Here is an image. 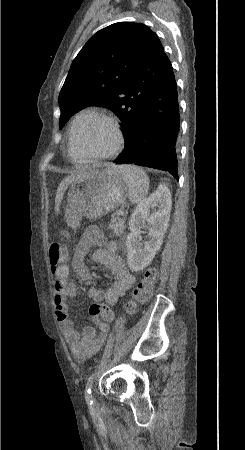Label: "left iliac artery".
Listing matches in <instances>:
<instances>
[{"instance_id": "1", "label": "left iliac artery", "mask_w": 245, "mask_h": 450, "mask_svg": "<svg viewBox=\"0 0 245 450\" xmlns=\"http://www.w3.org/2000/svg\"><path fill=\"white\" fill-rule=\"evenodd\" d=\"M94 376H95V374H92L88 378L87 384H86V390H85V392H86V396H85L86 397V401L88 403H90V404L93 403V397L91 395V392H92V385H93V381H94Z\"/></svg>"}]
</instances>
